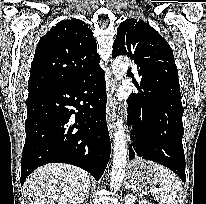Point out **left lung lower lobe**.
Listing matches in <instances>:
<instances>
[{
  "mask_svg": "<svg viewBox=\"0 0 206 204\" xmlns=\"http://www.w3.org/2000/svg\"><path fill=\"white\" fill-rule=\"evenodd\" d=\"M139 76L140 93H132L127 100V122L134 127L131 137L137 156L168 167L185 182L181 95L168 86L153 97L145 91V70H139ZM129 154V159L135 158L132 147Z\"/></svg>",
  "mask_w": 206,
  "mask_h": 204,
  "instance_id": "1",
  "label": "left lung lower lobe"
}]
</instances>
